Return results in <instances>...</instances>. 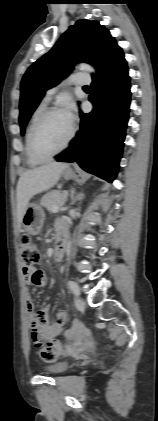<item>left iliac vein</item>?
<instances>
[{"label": "left iliac vein", "instance_id": "left-iliac-vein-1", "mask_svg": "<svg viewBox=\"0 0 158 421\" xmlns=\"http://www.w3.org/2000/svg\"><path fill=\"white\" fill-rule=\"evenodd\" d=\"M75 304H76V306L79 308V309H84V307H85V302H84V300H82L81 298H76L75 299Z\"/></svg>", "mask_w": 158, "mask_h": 421}]
</instances>
